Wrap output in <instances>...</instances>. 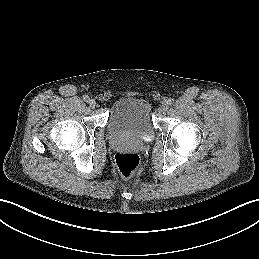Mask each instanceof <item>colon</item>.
<instances>
[{
    "label": "colon",
    "mask_w": 259,
    "mask_h": 259,
    "mask_svg": "<svg viewBox=\"0 0 259 259\" xmlns=\"http://www.w3.org/2000/svg\"><path fill=\"white\" fill-rule=\"evenodd\" d=\"M115 166L124 178L133 176L140 167V158L133 152H120L115 155Z\"/></svg>",
    "instance_id": "obj_1"
}]
</instances>
